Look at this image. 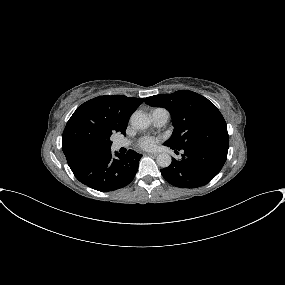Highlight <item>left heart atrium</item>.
I'll list each match as a JSON object with an SVG mask.
<instances>
[{
    "mask_svg": "<svg viewBox=\"0 0 285 285\" xmlns=\"http://www.w3.org/2000/svg\"><path fill=\"white\" fill-rule=\"evenodd\" d=\"M158 140L153 137H143L140 142L139 146L145 150H149L155 147Z\"/></svg>",
    "mask_w": 285,
    "mask_h": 285,
    "instance_id": "left-heart-atrium-1",
    "label": "left heart atrium"
}]
</instances>
